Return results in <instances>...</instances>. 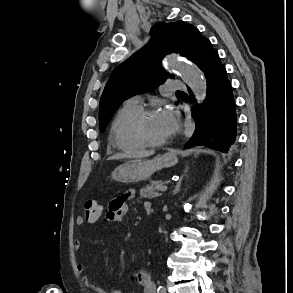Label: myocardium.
<instances>
[{
    "label": "myocardium",
    "mask_w": 293,
    "mask_h": 293,
    "mask_svg": "<svg viewBox=\"0 0 293 293\" xmlns=\"http://www.w3.org/2000/svg\"><path fill=\"white\" fill-rule=\"evenodd\" d=\"M156 112L157 110L154 108L141 109L134 120V133L137 138L146 145V147H162L170 141V138L163 141L150 140L143 131V123L145 119Z\"/></svg>",
    "instance_id": "myocardium-1"
}]
</instances>
